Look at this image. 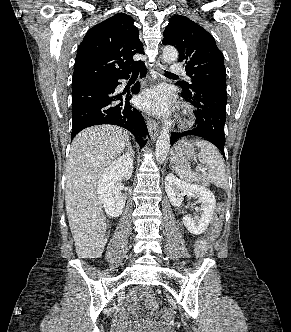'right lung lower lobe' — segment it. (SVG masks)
Wrapping results in <instances>:
<instances>
[{
	"label": "right lung lower lobe",
	"mask_w": 291,
	"mask_h": 332,
	"mask_svg": "<svg viewBox=\"0 0 291 332\" xmlns=\"http://www.w3.org/2000/svg\"><path fill=\"white\" fill-rule=\"evenodd\" d=\"M141 76L146 74L144 63L137 69ZM130 74V73H129ZM129 74L111 79L95 78L80 82L72 87V139L81 130L101 124H112L129 130L142 147L147 126L141 113L129 103L131 95L116 94L119 79H128ZM139 83L132 88V93L139 92Z\"/></svg>",
	"instance_id": "1"
}]
</instances>
